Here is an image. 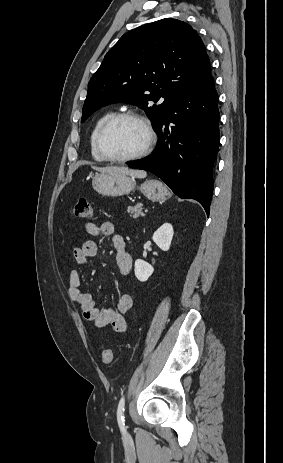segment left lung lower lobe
I'll list each match as a JSON object with an SVG mask.
<instances>
[{"instance_id":"0a47b994","label":"left lung lower lobe","mask_w":283,"mask_h":463,"mask_svg":"<svg viewBox=\"0 0 283 463\" xmlns=\"http://www.w3.org/2000/svg\"><path fill=\"white\" fill-rule=\"evenodd\" d=\"M219 119L218 95L209 73L170 107L156 129L157 151L128 166L160 177L178 197L197 200L209 215Z\"/></svg>"}]
</instances>
